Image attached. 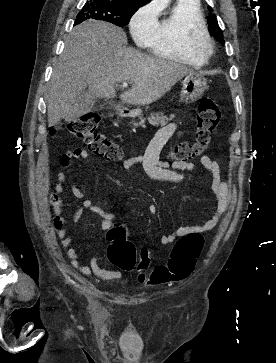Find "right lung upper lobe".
I'll return each mask as SVG.
<instances>
[{
  "label": "right lung upper lobe",
  "instance_id": "right-lung-upper-lobe-1",
  "mask_svg": "<svg viewBox=\"0 0 276 363\" xmlns=\"http://www.w3.org/2000/svg\"><path fill=\"white\" fill-rule=\"evenodd\" d=\"M111 1L142 5V4L146 3V2H148L149 0H111Z\"/></svg>",
  "mask_w": 276,
  "mask_h": 363
}]
</instances>
